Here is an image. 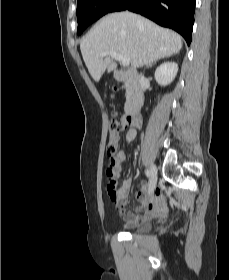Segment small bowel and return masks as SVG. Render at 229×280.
<instances>
[{
  "instance_id": "small-bowel-1",
  "label": "small bowel",
  "mask_w": 229,
  "mask_h": 280,
  "mask_svg": "<svg viewBox=\"0 0 229 280\" xmlns=\"http://www.w3.org/2000/svg\"><path fill=\"white\" fill-rule=\"evenodd\" d=\"M135 131L127 132L126 140L132 141L135 138ZM114 178L119 177V172L123 169L126 162V147L123 146L115 157ZM134 186L132 178L126 179L121 186H112L111 181H108L107 189L111 201L114 203L119 213L126 220L125 227L137 225L140 221L151 219L154 217L164 216L167 212L164 195L161 189L151 190L150 186L143 182L134 196L138 200V205L135 210L138 214H134L126 209V205L131 197V190Z\"/></svg>"
}]
</instances>
